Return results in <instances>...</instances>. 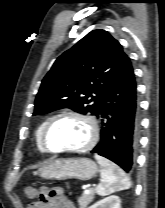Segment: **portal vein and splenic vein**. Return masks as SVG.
I'll list each match as a JSON object with an SVG mask.
<instances>
[{
  "mask_svg": "<svg viewBox=\"0 0 165 208\" xmlns=\"http://www.w3.org/2000/svg\"><path fill=\"white\" fill-rule=\"evenodd\" d=\"M84 193H85V194H89V193H90V190H89V189H85V190H84Z\"/></svg>",
  "mask_w": 165,
  "mask_h": 208,
  "instance_id": "obj_1",
  "label": "portal vein and splenic vein"
}]
</instances>
